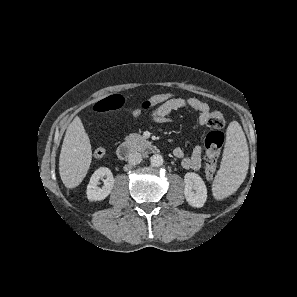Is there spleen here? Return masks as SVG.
Instances as JSON below:
<instances>
[{"instance_id": "obj_1", "label": "spleen", "mask_w": 297, "mask_h": 297, "mask_svg": "<svg viewBox=\"0 0 297 297\" xmlns=\"http://www.w3.org/2000/svg\"><path fill=\"white\" fill-rule=\"evenodd\" d=\"M249 164V151L242 127L237 121L229 124L224 153L218 170L215 184L219 183L222 192H216V197L228 195L238 189L244 181ZM216 186H214L215 188Z\"/></svg>"}]
</instances>
